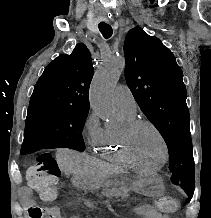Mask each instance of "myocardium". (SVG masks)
Segmentation results:
<instances>
[{
    "label": "myocardium",
    "instance_id": "obj_1",
    "mask_svg": "<svg viewBox=\"0 0 211 218\" xmlns=\"http://www.w3.org/2000/svg\"><path fill=\"white\" fill-rule=\"evenodd\" d=\"M141 126H147L151 128L158 136L159 141L162 146V150H163V158H162V161L158 165V166H161L162 164L165 163L167 159V144H166L165 138L162 132L160 131V129L153 122L149 120L135 118L124 125V127L122 128V142H123V147L125 149V152L127 153L132 163L140 165V166H145V163L141 162L134 155L133 145H132L133 135L135 131ZM147 168H153V167L151 165H147Z\"/></svg>",
    "mask_w": 211,
    "mask_h": 218
}]
</instances>
